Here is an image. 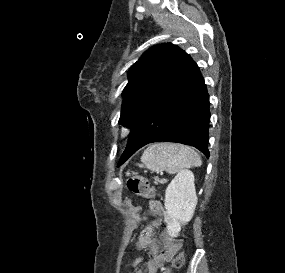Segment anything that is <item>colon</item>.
Here are the masks:
<instances>
[{
    "mask_svg": "<svg viewBox=\"0 0 285 273\" xmlns=\"http://www.w3.org/2000/svg\"><path fill=\"white\" fill-rule=\"evenodd\" d=\"M127 189L142 198H151L154 195V191L147 182L140 176H130L126 182ZM140 232H147V227H140ZM184 256L183 253H179L172 261L170 267L165 268L163 273H171L172 269L180 268L183 265Z\"/></svg>",
    "mask_w": 285,
    "mask_h": 273,
    "instance_id": "obj_1",
    "label": "colon"
}]
</instances>
